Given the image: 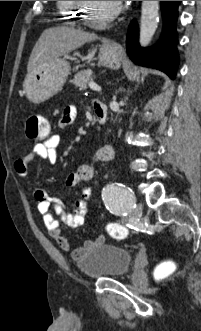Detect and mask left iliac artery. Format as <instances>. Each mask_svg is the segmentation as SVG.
I'll return each instance as SVG.
<instances>
[{
    "mask_svg": "<svg viewBox=\"0 0 201 331\" xmlns=\"http://www.w3.org/2000/svg\"><path fill=\"white\" fill-rule=\"evenodd\" d=\"M102 197L106 208L117 216L126 218L136 207L134 192L120 183L106 186L102 191Z\"/></svg>",
    "mask_w": 201,
    "mask_h": 331,
    "instance_id": "obj_1",
    "label": "left iliac artery"
}]
</instances>
